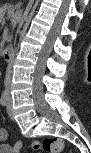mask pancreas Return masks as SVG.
Returning a JSON list of instances; mask_svg holds the SVG:
<instances>
[{
  "instance_id": "pancreas-1",
  "label": "pancreas",
  "mask_w": 91,
  "mask_h": 153,
  "mask_svg": "<svg viewBox=\"0 0 91 153\" xmlns=\"http://www.w3.org/2000/svg\"><path fill=\"white\" fill-rule=\"evenodd\" d=\"M15 7L13 5H4L1 7V16L4 17L5 13H8L10 18L14 17Z\"/></svg>"
}]
</instances>
